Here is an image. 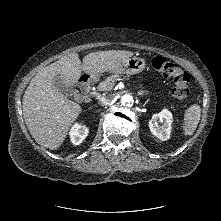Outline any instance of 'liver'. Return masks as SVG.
<instances>
[{"mask_svg": "<svg viewBox=\"0 0 221 221\" xmlns=\"http://www.w3.org/2000/svg\"><path fill=\"white\" fill-rule=\"evenodd\" d=\"M133 52L125 50L98 51L87 54L83 62L77 53L60 58L37 73L30 81L22 101L26 126L41 146L58 149L81 112V106L69 100L54 84L59 76L73 88L84 71L90 76L113 71Z\"/></svg>", "mask_w": 221, "mask_h": 221, "instance_id": "6515ba94", "label": "liver"}]
</instances>
